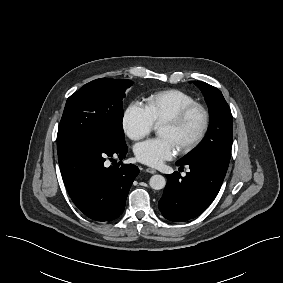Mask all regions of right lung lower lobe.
Here are the masks:
<instances>
[{
    "label": "right lung lower lobe",
    "instance_id": "98d812e1",
    "mask_svg": "<svg viewBox=\"0 0 283 283\" xmlns=\"http://www.w3.org/2000/svg\"><path fill=\"white\" fill-rule=\"evenodd\" d=\"M127 145H111L85 139L58 153L67 191L79 210L96 221H111L123 212L129 189L139 173L137 166L107 167L106 160H122Z\"/></svg>",
    "mask_w": 283,
    "mask_h": 283
}]
</instances>
